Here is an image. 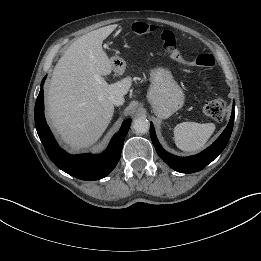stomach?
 Here are the masks:
<instances>
[{
	"mask_svg": "<svg viewBox=\"0 0 261 261\" xmlns=\"http://www.w3.org/2000/svg\"><path fill=\"white\" fill-rule=\"evenodd\" d=\"M116 71L125 67L122 59L114 60ZM150 87L148 101L154 114L161 119H166L182 108L184 104V92L174 80L172 72L167 67H155L149 71Z\"/></svg>",
	"mask_w": 261,
	"mask_h": 261,
	"instance_id": "0dacf381",
	"label": "stomach"
}]
</instances>
